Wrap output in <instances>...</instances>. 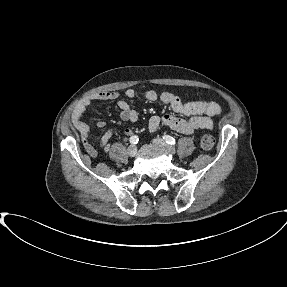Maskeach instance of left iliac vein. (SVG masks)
<instances>
[{
  "label": "left iliac vein",
  "instance_id": "1",
  "mask_svg": "<svg viewBox=\"0 0 287 287\" xmlns=\"http://www.w3.org/2000/svg\"><path fill=\"white\" fill-rule=\"evenodd\" d=\"M152 143L158 146L165 147L167 150H169L172 154L175 153V148L171 145H168L163 139L161 138H155L152 140Z\"/></svg>",
  "mask_w": 287,
  "mask_h": 287
}]
</instances>
